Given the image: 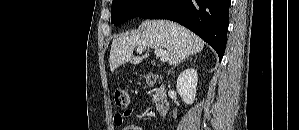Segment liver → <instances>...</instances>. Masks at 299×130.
<instances>
[{"instance_id": "liver-1", "label": "liver", "mask_w": 299, "mask_h": 130, "mask_svg": "<svg viewBox=\"0 0 299 130\" xmlns=\"http://www.w3.org/2000/svg\"><path fill=\"white\" fill-rule=\"evenodd\" d=\"M204 41L187 28L168 20L144 21L139 30L112 41L110 70L115 71L126 62L139 64L147 55L133 57L135 47L164 48L169 54V65H177L186 57L201 52Z\"/></svg>"}]
</instances>
